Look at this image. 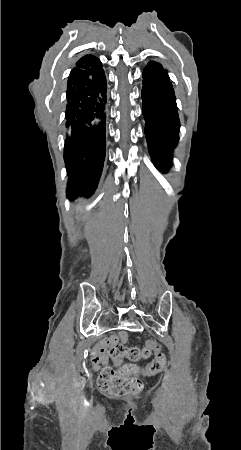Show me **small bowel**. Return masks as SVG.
I'll use <instances>...</instances> for the list:
<instances>
[{"instance_id": "obj_1", "label": "small bowel", "mask_w": 241, "mask_h": 450, "mask_svg": "<svg viewBox=\"0 0 241 450\" xmlns=\"http://www.w3.org/2000/svg\"><path fill=\"white\" fill-rule=\"evenodd\" d=\"M119 338L123 343H126L128 339L127 332L121 331ZM119 338L117 336H111L109 339L101 341L90 354L91 363L94 364L95 366H99L100 364H106L109 360L108 349L110 347V343L113 340L118 342Z\"/></svg>"}]
</instances>
